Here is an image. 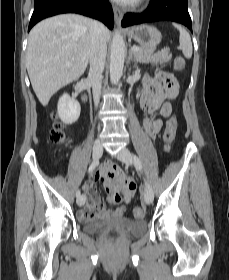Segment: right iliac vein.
Instances as JSON below:
<instances>
[{
	"label": "right iliac vein",
	"mask_w": 229,
	"mask_h": 280,
	"mask_svg": "<svg viewBox=\"0 0 229 280\" xmlns=\"http://www.w3.org/2000/svg\"><path fill=\"white\" fill-rule=\"evenodd\" d=\"M103 153V148L100 142H95L93 145V150H92V154H93V159L97 160L101 157ZM78 206H82L85 203V197L82 195L79 198H77L76 201Z\"/></svg>",
	"instance_id": "1"
}]
</instances>
